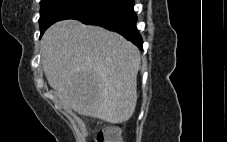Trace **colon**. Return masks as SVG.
<instances>
[{"label": "colon", "instance_id": "1", "mask_svg": "<svg viewBox=\"0 0 227 142\" xmlns=\"http://www.w3.org/2000/svg\"><path fill=\"white\" fill-rule=\"evenodd\" d=\"M93 142H122L120 130L116 127H108L100 131Z\"/></svg>", "mask_w": 227, "mask_h": 142}]
</instances>
